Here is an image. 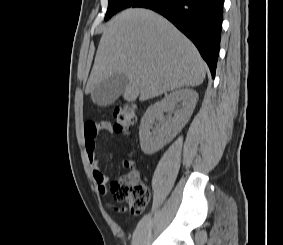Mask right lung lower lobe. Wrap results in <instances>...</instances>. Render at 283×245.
Instances as JSON below:
<instances>
[{
    "instance_id": "1",
    "label": "right lung lower lobe",
    "mask_w": 283,
    "mask_h": 245,
    "mask_svg": "<svg viewBox=\"0 0 283 245\" xmlns=\"http://www.w3.org/2000/svg\"><path fill=\"white\" fill-rule=\"evenodd\" d=\"M224 0H139L131 7L152 9L170 20L198 48L215 77Z\"/></svg>"
}]
</instances>
